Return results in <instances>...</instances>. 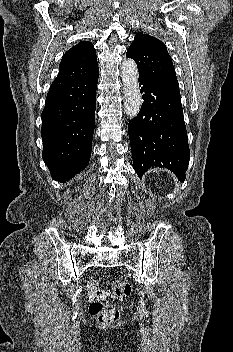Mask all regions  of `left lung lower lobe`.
<instances>
[{"mask_svg": "<svg viewBox=\"0 0 233 352\" xmlns=\"http://www.w3.org/2000/svg\"><path fill=\"white\" fill-rule=\"evenodd\" d=\"M138 81L143 104L128 124L136 173L166 167L184 181L189 145L180 95L142 75Z\"/></svg>", "mask_w": 233, "mask_h": 352, "instance_id": "0a47b994", "label": "left lung lower lobe"}]
</instances>
